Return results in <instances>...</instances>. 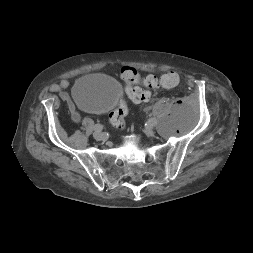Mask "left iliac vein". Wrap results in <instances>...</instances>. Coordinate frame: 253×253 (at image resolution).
<instances>
[{
    "instance_id": "left-iliac-vein-1",
    "label": "left iliac vein",
    "mask_w": 253,
    "mask_h": 253,
    "mask_svg": "<svg viewBox=\"0 0 253 253\" xmlns=\"http://www.w3.org/2000/svg\"><path fill=\"white\" fill-rule=\"evenodd\" d=\"M145 132H146L148 135L153 136V135H154L153 126H152V125L147 126L146 129H145Z\"/></svg>"
}]
</instances>
